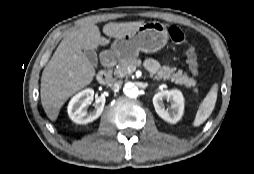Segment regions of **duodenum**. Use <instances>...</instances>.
I'll use <instances>...</instances> for the list:
<instances>
[{
    "label": "duodenum",
    "mask_w": 254,
    "mask_h": 174,
    "mask_svg": "<svg viewBox=\"0 0 254 174\" xmlns=\"http://www.w3.org/2000/svg\"><path fill=\"white\" fill-rule=\"evenodd\" d=\"M115 66V60L108 54L102 57V67L96 76L97 81L100 84L106 85L110 83L112 79V70Z\"/></svg>",
    "instance_id": "duodenum-1"
}]
</instances>
